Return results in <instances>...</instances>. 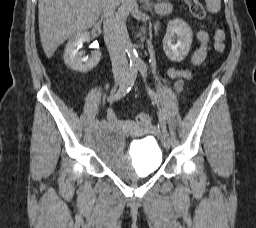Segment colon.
<instances>
[{"instance_id":"colon-1","label":"colon","mask_w":256,"mask_h":228,"mask_svg":"<svg viewBox=\"0 0 256 228\" xmlns=\"http://www.w3.org/2000/svg\"><path fill=\"white\" fill-rule=\"evenodd\" d=\"M188 5L191 14L197 19H205L207 17V12L205 7L199 0H184ZM225 31L221 28L216 29L214 32V49L218 53H223L225 51ZM137 122L143 126H151L152 119L146 113L138 114L136 118Z\"/></svg>"}]
</instances>
